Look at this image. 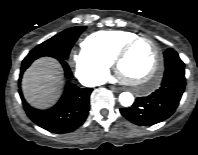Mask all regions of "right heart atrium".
Listing matches in <instances>:
<instances>
[{"label": "right heart atrium", "mask_w": 198, "mask_h": 155, "mask_svg": "<svg viewBox=\"0 0 198 155\" xmlns=\"http://www.w3.org/2000/svg\"><path fill=\"white\" fill-rule=\"evenodd\" d=\"M71 61L76 76L84 83L98 84L108 75L110 64L83 47L71 53Z\"/></svg>", "instance_id": "d8ad5b80"}]
</instances>
